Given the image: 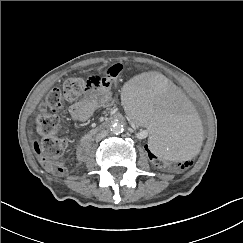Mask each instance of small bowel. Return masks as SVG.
<instances>
[{
  "label": "small bowel",
  "mask_w": 243,
  "mask_h": 243,
  "mask_svg": "<svg viewBox=\"0 0 243 243\" xmlns=\"http://www.w3.org/2000/svg\"><path fill=\"white\" fill-rule=\"evenodd\" d=\"M112 101L113 95L109 86L95 85L85 97L69 107V112L74 121L84 122L89 119L99 107L109 105Z\"/></svg>",
  "instance_id": "c3829d8e"
}]
</instances>
